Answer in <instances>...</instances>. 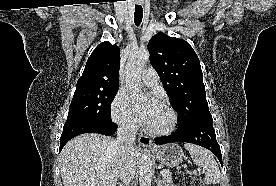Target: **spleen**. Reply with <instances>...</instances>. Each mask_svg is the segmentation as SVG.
Listing matches in <instances>:
<instances>
[{
	"mask_svg": "<svg viewBox=\"0 0 276 186\" xmlns=\"http://www.w3.org/2000/svg\"><path fill=\"white\" fill-rule=\"evenodd\" d=\"M184 147L189 151L193 162L205 169L204 182L207 185L219 183L221 173L212 153L205 148L193 144L186 143Z\"/></svg>",
	"mask_w": 276,
	"mask_h": 186,
	"instance_id": "obj_1",
	"label": "spleen"
}]
</instances>
